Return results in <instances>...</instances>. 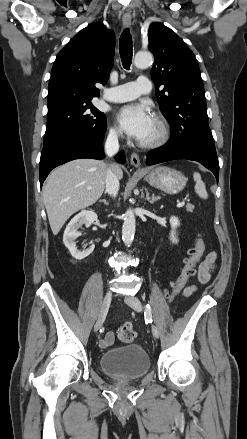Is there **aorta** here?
Here are the masks:
<instances>
[{
    "label": "aorta",
    "mask_w": 247,
    "mask_h": 439,
    "mask_svg": "<svg viewBox=\"0 0 247 439\" xmlns=\"http://www.w3.org/2000/svg\"><path fill=\"white\" fill-rule=\"evenodd\" d=\"M153 63V56L148 52H138L135 55L134 64L137 68H147ZM122 227V239L126 246H130L134 239L136 220L134 212L129 208L124 214Z\"/></svg>",
    "instance_id": "obj_1"
}]
</instances>
